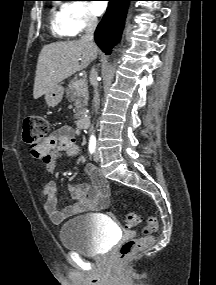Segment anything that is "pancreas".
Instances as JSON below:
<instances>
[{"instance_id":"obj_1","label":"pancreas","mask_w":216,"mask_h":285,"mask_svg":"<svg viewBox=\"0 0 216 285\" xmlns=\"http://www.w3.org/2000/svg\"><path fill=\"white\" fill-rule=\"evenodd\" d=\"M75 82V80H72L68 84V88L66 89V97L69 101L74 102L76 107L75 118L78 119L80 116L85 114L88 102V86L85 79H83V84L78 88L74 86Z\"/></svg>"}]
</instances>
